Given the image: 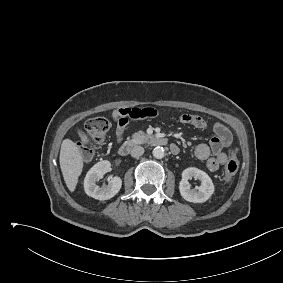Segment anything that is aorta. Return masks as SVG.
Segmentation results:
<instances>
[{
    "mask_svg": "<svg viewBox=\"0 0 283 283\" xmlns=\"http://www.w3.org/2000/svg\"><path fill=\"white\" fill-rule=\"evenodd\" d=\"M152 153L156 159H162L165 155L163 147L160 146L155 147Z\"/></svg>",
    "mask_w": 283,
    "mask_h": 283,
    "instance_id": "aorta-1",
    "label": "aorta"
}]
</instances>
